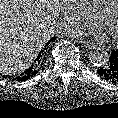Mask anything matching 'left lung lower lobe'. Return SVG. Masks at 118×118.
<instances>
[{
	"label": "left lung lower lobe",
	"mask_w": 118,
	"mask_h": 118,
	"mask_svg": "<svg viewBox=\"0 0 118 118\" xmlns=\"http://www.w3.org/2000/svg\"><path fill=\"white\" fill-rule=\"evenodd\" d=\"M108 55L107 62L97 70V73L104 80L118 83V49L109 52Z\"/></svg>",
	"instance_id": "left-lung-lower-lobe-1"
}]
</instances>
